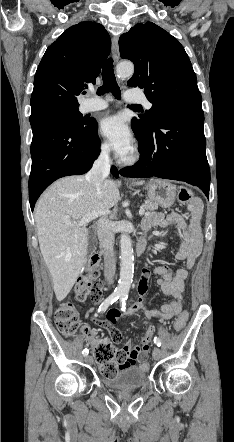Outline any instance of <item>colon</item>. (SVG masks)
Returning a JSON list of instances; mask_svg holds the SVG:
<instances>
[{"label":"colon","instance_id":"1","mask_svg":"<svg viewBox=\"0 0 234 442\" xmlns=\"http://www.w3.org/2000/svg\"><path fill=\"white\" fill-rule=\"evenodd\" d=\"M194 200L195 197L190 189L181 188L178 191V201L181 204H189ZM98 265L99 256L95 254L88 261L86 272L77 281L75 291L79 301L91 299L97 303L100 300L105 288V282L98 279ZM187 317V314L183 313L174 321L173 326L175 331L179 332L184 328ZM99 320L100 319H97L96 321L99 322ZM55 322L58 330L65 337H72L79 330L78 315L71 303H64L59 306L55 313ZM83 333L88 338L92 336L91 331L87 328L83 329ZM111 338H113V336H111ZM93 352L99 364L100 372L105 377L113 376L119 368L127 365L124 353L117 351L107 339L96 340L94 342ZM145 360L146 359H143L142 368L147 370L149 365L144 363Z\"/></svg>","mask_w":234,"mask_h":442}]
</instances>
